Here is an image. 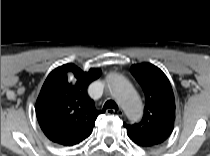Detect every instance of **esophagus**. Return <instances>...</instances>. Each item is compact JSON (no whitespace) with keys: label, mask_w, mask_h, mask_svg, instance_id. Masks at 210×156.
<instances>
[{"label":"esophagus","mask_w":210,"mask_h":156,"mask_svg":"<svg viewBox=\"0 0 210 156\" xmlns=\"http://www.w3.org/2000/svg\"><path fill=\"white\" fill-rule=\"evenodd\" d=\"M111 112H116V114L118 115V116H123V111L121 110V109H118L117 111H115L114 109H107L106 110V113L107 114H110Z\"/></svg>","instance_id":"34e87169"}]
</instances>
